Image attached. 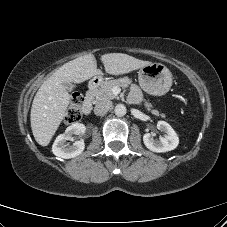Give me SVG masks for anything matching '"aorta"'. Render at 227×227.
<instances>
[{
    "mask_svg": "<svg viewBox=\"0 0 227 227\" xmlns=\"http://www.w3.org/2000/svg\"><path fill=\"white\" fill-rule=\"evenodd\" d=\"M114 111H115L116 116L122 117L126 114L127 110L123 104H118V105H116Z\"/></svg>",
    "mask_w": 227,
    "mask_h": 227,
    "instance_id": "762f6f07",
    "label": "aorta"
}]
</instances>
